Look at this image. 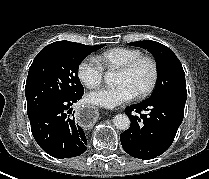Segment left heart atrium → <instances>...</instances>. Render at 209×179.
<instances>
[{
	"label": "left heart atrium",
	"instance_id": "39dd6f15",
	"mask_svg": "<svg viewBox=\"0 0 209 179\" xmlns=\"http://www.w3.org/2000/svg\"><path fill=\"white\" fill-rule=\"evenodd\" d=\"M135 96L136 93L127 84H120L116 87L92 91L88 94L87 99L92 104L114 108L132 100Z\"/></svg>",
	"mask_w": 209,
	"mask_h": 179
}]
</instances>
